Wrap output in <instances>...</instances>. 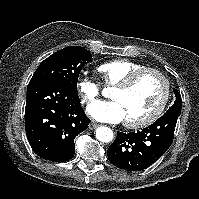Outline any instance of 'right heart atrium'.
Segmentation results:
<instances>
[{
	"label": "right heart atrium",
	"mask_w": 199,
	"mask_h": 199,
	"mask_svg": "<svg viewBox=\"0 0 199 199\" xmlns=\"http://www.w3.org/2000/svg\"><path fill=\"white\" fill-rule=\"evenodd\" d=\"M77 91L85 103H92L101 92L100 84L91 78H79L77 82Z\"/></svg>",
	"instance_id": "right-heart-atrium-1"
}]
</instances>
